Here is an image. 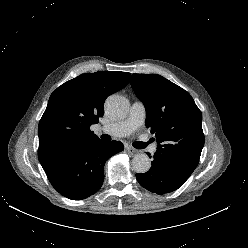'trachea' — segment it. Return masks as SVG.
I'll return each mask as SVG.
<instances>
[{
	"label": "trachea",
	"mask_w": 248,
	"mask_h": 248,
	"mask_svg": "<svg viewBox=\"0 0 248 248\" xmlns=\"http://www.w3.org/2000/svg\"><path fill=\"white\" fill-rule=\"evenodd\" d=\"M147 144L148 142H137L134 144V147L138 149H143L147 146Z\"/></svg>",
	"instance_id": "obj_1"
}]
</instances>
